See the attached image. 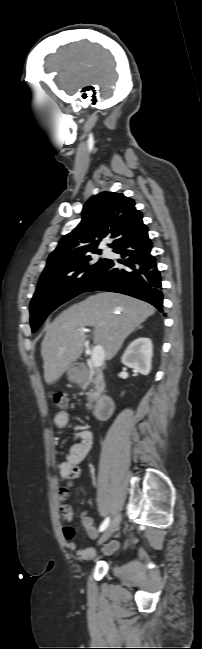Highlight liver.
<instances>
[{
    "label": "liver",
    "instance_id": "6515ba94",
    "mask_svg": "<svg viewBox=\"0 0 202 649\" xmlns=\"http://www.w3.org/2000/svg\"><path fill=\"white\" fill-rule=\"evenodd\" d=\"M154 313L155 308L144 301L109 292L68 307L48 325L41 344L46 383L56 382L83 353L86 335L81 328L94 327V343L103 347L110 360L135 327Z\"/></svg>",
    "mask_w": 202,
    "mask_h": 649
}]
</instances>
